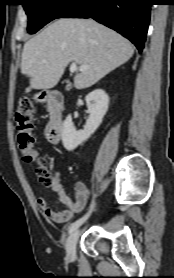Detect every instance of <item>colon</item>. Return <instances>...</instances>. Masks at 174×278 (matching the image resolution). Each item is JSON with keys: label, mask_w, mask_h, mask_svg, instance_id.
<instances>
[{"label": "colon", "mask_w": 174, "mask_h": 278, "mask_svg": "<svg viewBox=\"0 0 174 278\" xmlns=\"http://www.w3.org/2000/svg\"><path fill=\"white\" fill-rule=\"evenodd\" d=\"M33 112L34 104L32 100L30 98H23L14 115L18 149L21 152L23 159L27 162L37 159V153L33 146L34 139L31 133V119ZM39 163L40 165L36 169L37 176L43 185L51 186L54 178L47 166L45 158H40Z\"/></svg>", "instance_id": "obj_1"}]
</instances>
